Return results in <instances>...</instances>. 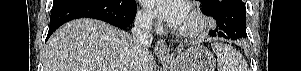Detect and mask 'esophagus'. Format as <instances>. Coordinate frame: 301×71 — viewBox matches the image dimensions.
<instances>
[{
    "label": "esophagus",
    "instance_id": "obj_1",
    "mask_svg": "<svg viewBox=\"0 0 301 71\" xmlns=\"http://www.w3.org/2000/svg\"><path fill=\"white\" fill-rule=\"evenodd\" d=\"M154 51L160 59H167L170 57V50L162 39L156 41Z\"/></svg>",
    "mask_w": 301,
    "mask_h": 71
}]
</instances>
